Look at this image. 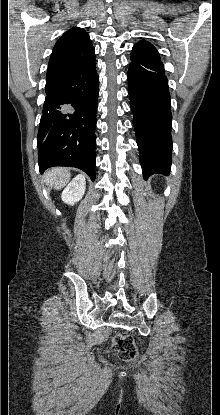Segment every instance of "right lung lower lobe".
Instances as JSON below:
<instances>
[{
  "mask_svg": "<svg viewBox=\"0 0 220 415\" xmlns=\"http://www.w3.org/2000/svg\"><path fill=\"white\" fill-rule=\"evenodd\" d=\"M37 136L40 173L53 166L76 167L95 180V126L99 76L95 61L47 80Z\"/></svg>",
  "mask_w": 220,
  "mask_h": 415,
  "instance_id": "right-lung-lower-lobe-1",
  "label": "right lung lower lobe"
}]
</instances>
